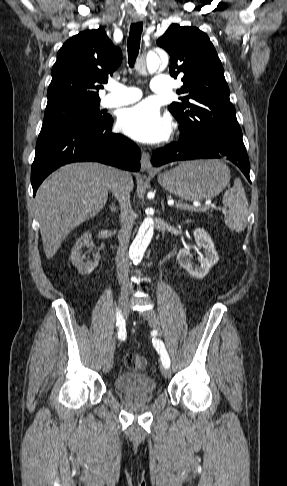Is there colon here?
Masks as SVG:
<instances>
[{
	"label": "colon",
	"instance_id": "obj_1",
	"mask_svg": "<svg viewBox=\"0 0 287 486\" xmlns=\"http://www.w3.org/2000/svg\"><path fill=\"white\" fill-rule=\"evenodd\" d=\"M124 362L126 368L132 371H140L146 367V359L135 353L126 355Z\"/></svg>",
	"mask_w": 287,
	"mask_h": 486
}]
</instances>
